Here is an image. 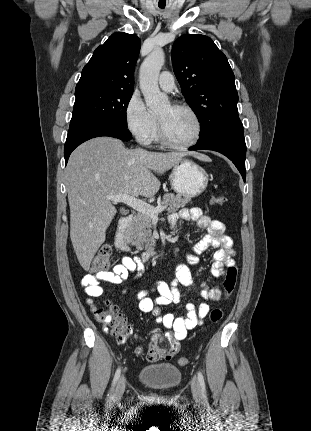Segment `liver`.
<instances>
[{
  "instance_id": "1",
  "label": "liver",
  "mask_w": 311,
  "mask_h": 431,
  "mask_svg": "<svg viewBox=\"0 0 311 431\" xmlns=\"http://www.w3.org/2000/svg\"><path fill=\"white\" fill-rule=\"evenodd\" d=\"M185 156L203 160L197 152L126 150L115 138H93L74 150L66 168L70 237L85 271L118 214L107 196L154 198L161 186L156 174L162 176ZM209 160L206 156L203 162Z\"/></svg>"
}]
</instances>
